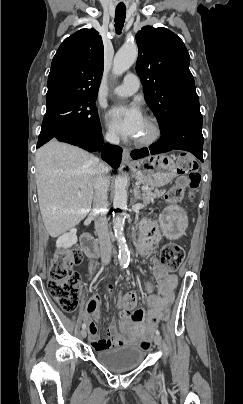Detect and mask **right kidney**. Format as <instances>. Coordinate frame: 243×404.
Wrapping results in <instances>:
<instances>
[{"mask_svg":"<svg viewBox=\"0 0 243 404\" xmlns=\"http://www.w3.org/2000/svg\"><path fill=\"white\" fill-rule=\"evenodd\" d=\"M77 230L72 228L68 234H63L56 240V248H72L73 244L77 242Z\"/></svg>","mask_w":243,"mask_h":404,"instance_id":"1","label":"right kidney"}]
</instances>
